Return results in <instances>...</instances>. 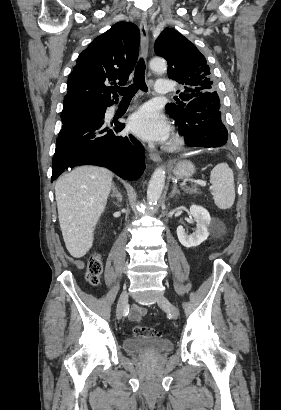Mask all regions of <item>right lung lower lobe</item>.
Here are the masks:
<instances>
[{
	"label": "right lung lower lobe",
	"mask_w": 281,
	"mask_h": 410,
	"mask_svg": "<svg viewBox=\"0 0 281 410\" xmlns=\"http://www.w3.org/2000/svg\"><path fill=\"white\" fill-rule=\"evenodd\" d=\"M112 104L104 106L98 117L85 119L60 131L51 181L65 169L80 165L106 167L127 180H136L142 175L145 169L143 146L132 135H118L124 124L114 130L106 126L104 114Z\"/></svg>",
	"instance_id": "1"
}]
</instances>
